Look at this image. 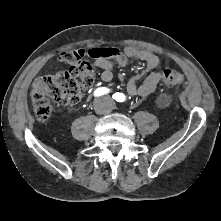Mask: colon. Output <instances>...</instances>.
<instances>
[{
    "instance_id": "colon-1",
    "label": "colon",
    "mask_w": 221,
    "mask_h": 221,
    "mask_svg": "<svg viewBox=\"0 0 221 221\" xmlns=\"http://www.w3.org/2000/svg\"><path fill=\"white\" fill-rule=\"evenodd\" d=\"M109 54L105 48L64 51L60 60L65 69L37 78L31 88V100L34 114L39 122H45L52 113V103L74 104L93 85L94 74L86 58H96ZM185 77L174 70L162 72V84L165 88L184 84Z\"/></svg>"
}]
</instances>
